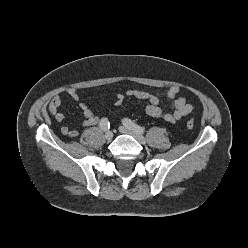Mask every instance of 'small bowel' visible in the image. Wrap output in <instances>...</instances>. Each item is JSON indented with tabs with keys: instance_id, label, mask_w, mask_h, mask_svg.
I'll use <instances>...</instances> for the list:
<instances>
[{
	"instance_id": "obj_1",
	"label": "small bowel",
	"mask_w": 248,
	"mask_h": 248,
	"mask_svg": "<svg viewBox=\"0 0 248 248\" xmlns=\"http://www.w3.org/2000/svg\"><path fill=\"white\" fill-rule=\"evenodd\" d=\"M67 95L73 100H79V93L75 88L67 89ZM125 97H134L140 100H147L146 113L152 118H160L169 123H175L183 117L189 115L193 111L192 104L188 103L184 96L180 95L179 87H171L164 93L152 94L144 90L129 89L125 93H118L115 97L114 104L120 106ZM167 98L171 101L172 112H164L160 107L162 98ZM63 103V98L60 95H55L48 104V110L57 122H62L65 119L64 113L60 110ZM79 108L83 114L84 126H95L100 122L97 117L85 103H80ZM61 133L71 138L77 137L79 131L68 126L61 127Z\"/></svg>"
}]
</instances>
